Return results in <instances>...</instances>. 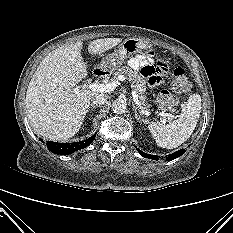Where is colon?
<instances>
[{
    "instance_id": "5ec220e1",
    "label": "colon",
    "mask_w": 233,
    "mask_h": 233,
    "mask_svg": "<svg viewBox=\"0 0 233 233\" xmlns=\"http://www.w3.org/2000/svg\"><path fill=\"white\" fill-rule=\"evenodd\" d=\"M171 86L178 93L189 90L190 83L183 68L178 67L173 71ZM177 103L176 97L166 90L160 92L157 97V105L162 110H171Z\"/></svg>"
}]
</instances>
